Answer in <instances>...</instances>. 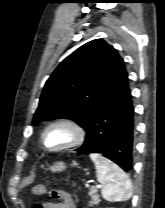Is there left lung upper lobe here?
Masks as SVG:
<instances>
[{"mask_svg": "<svg viewBox=\"0 0 165 208\" xmlns=\"http://www.w3.org/2000/svg\"><path fill=\"white\" fill-rule=\"evenodd\" d=\"M124 68L123 59L104 40L82 45L47 80L32 124L67 118L86 129Z\"/></svg>", "mask_w": 165, "mask_h": 208, "instance_id": "obj_1", "label": "left lung upper lobe"}]
</instances>
